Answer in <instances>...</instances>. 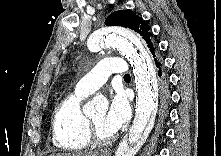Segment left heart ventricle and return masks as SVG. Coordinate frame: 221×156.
Segmentation results:
<instances>
[{"label": "left heart ventricle", "instance_id": "left-heart-ventricle-1", "mask_svg": "<svg viewBox=\"0 0 221 156\" xmlns=\"http://www.w3.org/2000/svg\"><path fill=\"white\" fill-rule=\"evenodd\" d=\"M105 116H106V112L100 111V112L93 114L90 117V119L93 121L99 134L103 137H108V136H111L112 134L109 131H107L104 127Z\"/></svg>", "mask_w": 221, "mask_h": 156}]
</instances>
